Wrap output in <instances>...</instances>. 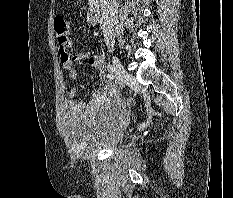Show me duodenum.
Masks as SVG:
<instances>
[{
  "label": "duodenum",
  "instance_id": "410a0bca",
  "mask_svg": "<svg viewBox=\"0 0 233 198\" xmlns=\"http://www.w3.org/2000/svg\"><path fill=\"white\" fill-rule=\"evenodd\" d=\"M87 19L90 23L96 24L101 22V12L97 3H92L87 13Z\"/></svg>",
  "mask_w": 233,
  "mask_h": 198
}]
</instances>
